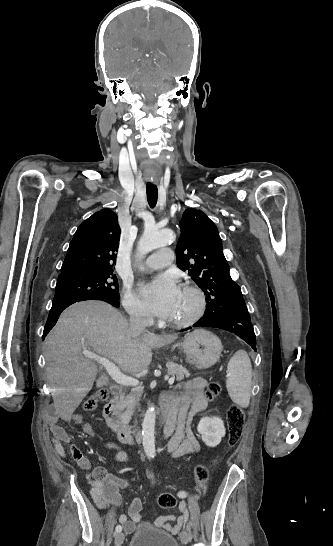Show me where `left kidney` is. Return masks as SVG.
Instances as JSON below:
<instances>
[{"instance_id": "5707ae66", "label": "left kidney", "mask_w": 333, "mask_h": 546, "mask_svg": "<svg viewBox=\"0 0 333 546\" xmlns=\"http://www.w3.org/2000/svg\"><path fill=\"white\" fill-rule=\"evenodd\" d=\"M197 430L201 434L203 442L210 447L219 445L222 437L225 436L224 423L216 416L202 417Z\"/></svg>"}]
</instances>
